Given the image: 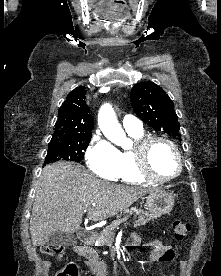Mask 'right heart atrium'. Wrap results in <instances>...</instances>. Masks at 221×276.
Here are the masks:
<instances>
[{"label":"right heart atrium","mask_w":221,"mask_h":276,"mask_svg":"<svg viewBox=\"0 0 221 276\" xmlns=\"http://www.w3.org/2000/svg\"><path fill=\"white\" fill-rule=\"evenodd\" d=\"M86 162L96 175L114 180L120 166V151L108 140L96 135L86 151Z\"/></svg>","instance_id":"d8ad5b80"}]
</instances>
